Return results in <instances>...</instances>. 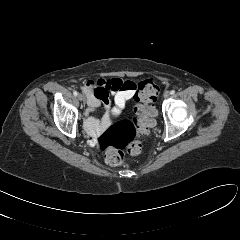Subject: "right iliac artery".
I'll return each mask as SVG.
<instances>
[{
  "instance_id": "right-iliac-artery-1",
  "label": "right iliac artery",
  "mask_w": 240,
  "mask_h": 240,
  "mask_svg": "<svg viewBox=\"0 0 240 240\" xmlns=\"http://www.w3.org/2000/svg\"><path fill=\"white\" fill-rule=\"evenodd\" d=\"M73 94H74V96H77V95H78V92H77V91H74Z\"/></svg>"
}]
</instances>
